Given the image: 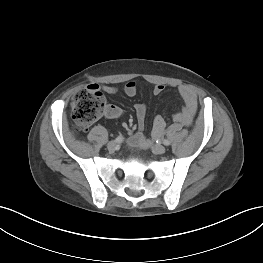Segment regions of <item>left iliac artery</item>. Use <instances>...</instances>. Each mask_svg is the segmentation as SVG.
Wrapping results in <instances>:
<instances>
[{
  "instance_id": "left-iliac-artery-1",
  "label": "left iliac artery",
  "mask_w": 263,
  "mask_h": 263,
  "mask_svg": "<svg viewBox=\"0 0 263 263\" xmlns=\"http://www.w3.org/2000/svg\"><path fill=\"white\" fill-rule=\"evenodd\" d=\"M157 142H158V141H157ZM162 143H163L164 145H166V146H169V145H170V141L167 140V139H163V140H162Z\"/></svg>"
}]
</instances>
